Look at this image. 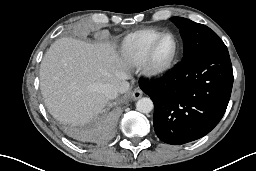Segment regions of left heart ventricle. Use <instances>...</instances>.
I'll return each instance as SVG.
<instances>
[{
	"label": "left heart ventricle",
	"mask_w": 256,
	"mask_h": 171,
	"mask_svg": "<svg viewBox=\"0 0 256 171\" xmlns=\"http://www.w3.org/2000/svg\"><path fill=\"white\" fill-rule=\"evenodd\" d=\"M174 42L172 38L167 37L161 41L155 52V59L159 63L166 62L172 55Z\"/></svg>",
	"instance_id": "left-heart-ventricle-1"
}]
</instances>
